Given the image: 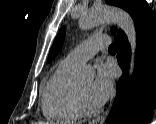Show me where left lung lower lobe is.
<instances>
[{
  "label": "left lung lower lobe",
  "mask_w": 156,
  "mask_h": 124,
  "mask_svg": "<svg viewBox=\"0 0 156 124\" xmlns=\"http://www.w3.org/2000/svg\"><path fill=\"white\" fill-rule=\"evenodd\" d=\"M133 20L137 35L136 64L127 89L130 47L122 31L115 37L123 76L117 84V98L108 117V122L113 124H146L156 102V13L144 0Z\"/></svg>",
  "instance_id": "obj_1"
}]
</instances>
